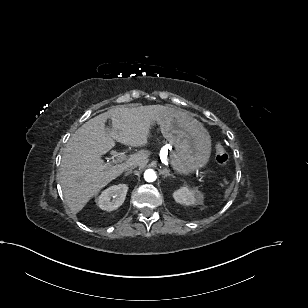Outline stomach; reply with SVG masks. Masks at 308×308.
Wrapping results in <instances>:
<instances>
[{
  "instance_id": "0dacf381",
  "label": "stomach",
  "mask_w": 308,
  "mask_h": 308,
  "mask_svg": "<svg viewBox=\"0 0 308 308\" xmlns=\"http://www.w3.org/2000/svg\"><path fill=\"white\" fill-rule=\"evenodd\" d=\"M154 122L171 143L175 152L171 164L180 174H189L203 168L209 161L211 139L208 131L187 112L172 108Z\"/></svg>"
}]
</instances>
